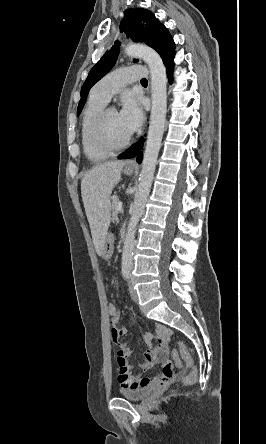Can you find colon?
<instances>
[{
  "mask_svg": "<svg viewBox=\"0 0 266 444\" xmlns=\"http://www.w3.org/2000/svg\"><path fill=\"white\" fill-rule=\"evenodd\" d=\"M107 312L110 319L118 314V309L113 303L107 304ZM181 359L186 363L188 372L183 377L184 385H192L197 380V370L195 368L191 353L184 342H179L177 349L172 353V363L174 366L179 367L181 365Z\"/></svg>",
  "mask_w": 266,
  "mask_h": 444,
  "instance_id": "5ec220e1",
  "label": "colon"
}]
</instances>
